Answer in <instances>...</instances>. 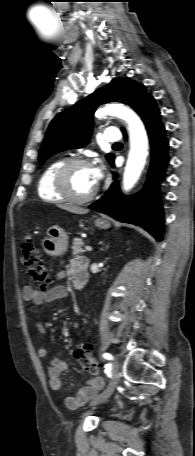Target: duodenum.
<instances>
[{
  "label": "duodenum",
  "instance_id": "duodenum-1",
  "mask_svg": "<svg viewBox=\"0 0 195 456\" xmlns=\"http://www.w3.org/2000/svg\"><path fill=\"white\" fill-rule=\"evenodd\" d=\"M89 280L87 261H85L74 273L73 283L78 289H83Z\"/></svg>",
  "mask_w": 195,
  "mask_h": 456
}]
</instances>
